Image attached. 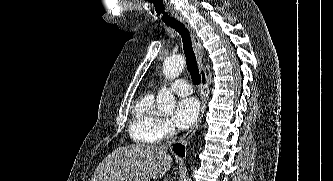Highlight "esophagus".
Returning a JSON list of instances; mask_svg holds the SVG:
<instances>
[{"label":"esophagus","instance_id":"34e87169","mask_svg":"<svg viewBox=\"0 0 333 181\" xmlns=\"http://www.w3.org/2000/svg\"><path fill=\"white\" fill-rule=\"evenodd\" d=\"M178 19L182 24H184V26L186 27V29L188 30V32L191 36L196 58H197V63L199 66L200 77H201L200 92H201V96H202V101H201V109H200L199 117H198L197 121L195 122V124L193 125V127L185 135H183L179 140L180 143H187L192 138V136L195 134L196 130L198 129V127L201 123L205 108H206L207 95H206L205 89L207 86V74H206V69L203 65L204 51H203V47H202L200 38L197 36L195 29L190 25V23L186 19H184L182 17H180Z\"/></svg>","mask_w":333,"mask_h":181}]
</instances>
